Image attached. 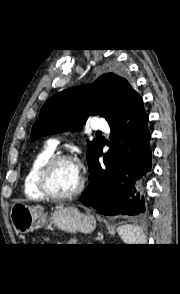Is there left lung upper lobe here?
Listing matches in <instances>:
<instances>
[{"instance_id": "5c2ea615", "label": "left lung upper lobe", "mask_w": 180, "mask_h": 294, "mask_svg": "<svg viewBox=\"0 0 180 294\" xmlns=\"http://www.w3.org/2000/svg\"><path fill=\"white\" fill-rule=\"evenodd\" d=\"M136 94L129 82L115 73L103 74L91 85L61 91L43 105L33 125L31 140L64 130H80L90 115H99L110 122ZM99 147L97 140L87 142L88 163Z\"/></svg>"}]
</instances>
